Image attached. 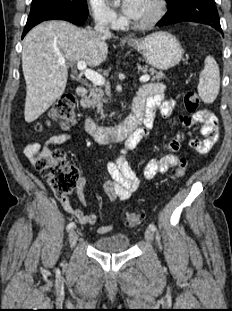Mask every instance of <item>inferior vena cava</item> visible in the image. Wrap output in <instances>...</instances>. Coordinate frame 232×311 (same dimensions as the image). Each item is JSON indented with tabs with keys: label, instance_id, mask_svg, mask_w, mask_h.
Returning a JSON list of instances; mask_svg holds the SVG:
<instances>
[{
	"label": "inferior vena cava",
	"instance_id": "1",
	"mask_svg": "<svg viewBox=\"0 0 232 311\" xmlns=\"http://www.w3.org/2000/svg\"><path fill=\"white\" fill-rule=\"evenodd\" d=\"M108 19H100L95 25V31L102 36H110V31L108 29Z\"/></svg>",
	"mask_w": 232,
	"mask_h": 311
}]
</instances>
